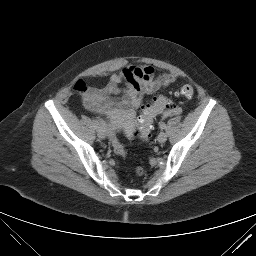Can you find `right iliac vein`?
Segmentation results:
<instances>
[{
	"instance_id": "obj_1",
	"label": "right iliac vein",
	"mask_w": 256,
	"mask_h": 256,
	"mask_svg": "<svg viewBox=\"0 0 256 256\" xmlns=\"http://www.w3.org/2000/svg\"><path fill=\"white\" fill-rule=\"evenodd\" d=\"M97 133H98V137L101 139H104L106 137V132L103 128L98 129Z\"/></svg>"
}]
</instances>
